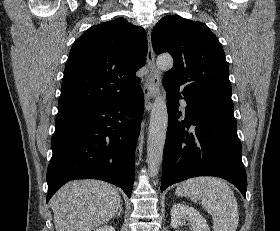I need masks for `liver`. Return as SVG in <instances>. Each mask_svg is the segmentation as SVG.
Here are the masks:
<instances>
[{"instance_id": "1", "label": "liver", "mask_w": 280, "mask_h": 231, "mask_svg": "<svg viewBox=\"0 0 280 231\" xmlns=\"http://www.w3.org/2000/svg\"><path fill=\"white\" fill-rule=\"evenodd\" d=\"M50 203L56 231H91L114 217L121 195L106 181L74 179L58 189Z\"/></svg>"}]
</instances>
